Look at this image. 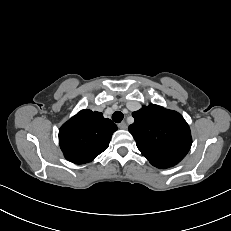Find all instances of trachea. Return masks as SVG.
Here are the masks:
<instances>
[{"label": "trachea", "instance_id": "1", "mask_svg": "<svg viewBox=\"0 0 231 231\" xmlns=\"http://www.w3.org/2000/svg\"><path fill=\"white\" fill-rule=\"evenodd\" d=\"M123 113L120 112V111H116L113 113L112 115V120L115 122V123H120L122 120H123Z\"/></svg>", "mask_w": 231, "mask_h": 231}]
</instances>
